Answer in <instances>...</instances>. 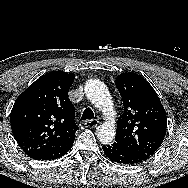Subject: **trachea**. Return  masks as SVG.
Returning <instances> with one entry per match:
<instances>
[{"mask_svg": "<svg viewBox=\"0 0 188 188\" xmlns=\"http://www.w3.org/2000/svg\"><path fill=\"white\" fill-rule=\"evenodd\" d=\"M92 118H94V113H93L92 109L91 108H86L83 111L81 120H89V119H92Z\"/></svg>", "mask_w": 188, "mask_h": 188, "instance_id": "3493384b", "label": "trachea"}]
</instances>
